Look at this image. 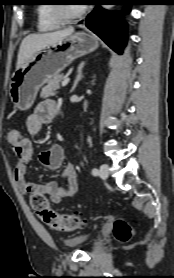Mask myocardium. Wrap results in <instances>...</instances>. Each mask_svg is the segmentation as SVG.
<instances>
[{
	"label": "myocardium",
	"mask_w": 174,
	"mask_h": 278,
	"mask_svg": "<svg viewBox=\"0 0 174 278\" xmlns=\"http://www.w3.org/2000/svg\"><path fill=\"white\" fill-rule=\"evenodd\" d=\"M87 11L86 7H82L77 12H70L67 5L56 4L53 6V15L61 23H68L81 18Z\"/></svg>",
	"instance_id": "f54148a6"
}]
</instances>
